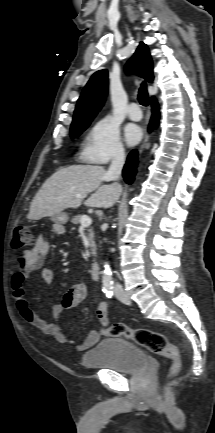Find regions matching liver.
<instances>
[{
    "instance_id": "1",
    "label": "liver",
    "mask_w": 215,
    "mask_h": 433,
    "mask_svg": "<svg viewBox=\"0 0 215 433\" xmlns=\"http://www.w3.org/2000/svg\"><path fill=\"white\" fill-rule=\"evenodd\" d=\"M107 171L99 165H71L58 169L41 186L31 202L30 220L53 217L67 208H78L89 193L94 192L84 204L89 207L109 208L119 199L122 188L114 183L102 185Z\"/></svg>"
}]
</instances>
